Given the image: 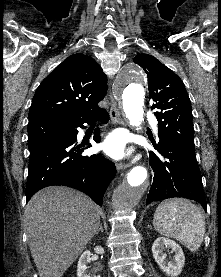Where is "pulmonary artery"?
<instances>
[{
  "instance_id": "pulmonary-artery-1",
  "label": "pulmonary artery",
  "mask_w": 221,
  "mask_h": 277,
  "mask_svg": "<svg viewBox=\"0 0 221 277\" xmlns=\"http://www.w3.org/2000/svg\"><path fill=\"white\" fill-rule=\"evenodd\" d=\"M148 118H150V120H152L153 121V124H154V127H155V129L157 128V122H156V120L154 119V117L153 116H151V115H148Z\"/></svg>"
}]
</instances>
